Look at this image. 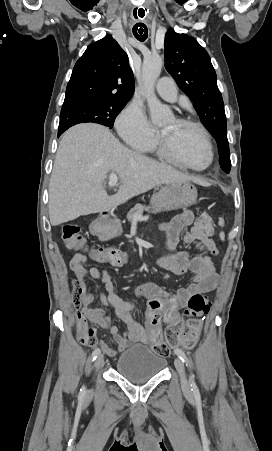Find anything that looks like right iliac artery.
I'll return each instance as SVG.
<instances>
[{"label": "right iliac artery", "mask_w": 272, "mask_h": 451, "mask_svg": "<svg viewBox=\"0 0 272 451\" xmlns=\"http://www.w3.org/2000/svg\"><path fill=\"white\" fill-rule=\"evenodd\" d=\"M100 353H101L100 349H95L92 353V360L94 361L100 355ZM85 394H86V388H85V386H83L80 389L78 399L83 400L85 397Z\"/></svg>", "instance_id": "obj_1"}]
</instances>
